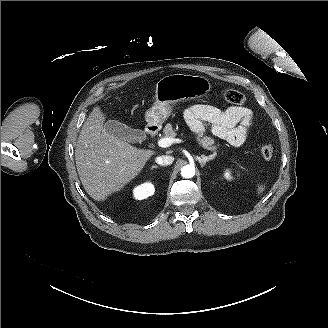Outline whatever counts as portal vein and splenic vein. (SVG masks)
Here are the masks:
<instances>
[{
    "mask_svg": "<svg viewBox=\"0 0 328 328\" xmlns=\"http://www.w3.org/2000/svg\"><path fill=\"white\" fill-rule=\"evenodd\" d=\"M172 142L184 143L185 141L183 139H179V138L173 139V140H171L170 138H161V139L157 140V145L161 148H166V147H169Z\"/></svg>",
    "mask_w": 328,
    "mask_h": 328,
    "instance_id": "portal-vein-and-splenic-vein-1",
    "label": "portal vein and splenic vein"
}]
</instances>
